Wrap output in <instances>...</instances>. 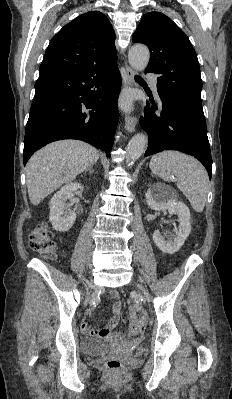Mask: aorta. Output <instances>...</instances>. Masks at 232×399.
<instances>
[{"label":"aorta","mask_w":232,"mask_h":399,"mask_svg":"<svg viewBox=\"0 0 232 399\" xmlns=\"http://www.w3.org/2000/svg\"><path fill=\"white\" fill-rule=\"evenodd\" d=\"M150 52L144 45L137 44L129 50L128 60L131 67L136 71H143L149 62ZM147 148V137L142 134H136L129 141L127 151V161L135 162L145 152Z\"/></svg>","instance_id":"1"}]
</instances>
